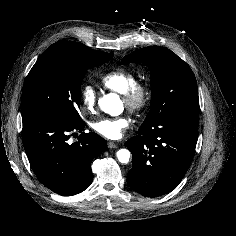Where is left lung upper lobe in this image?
Listing matches in <instances>:
<instances>
[{
  "instance_id": "5c2ea615",
  "label": "left lung upper lobe",
  "mask_w": 236,
  "mask_h": 236,
  "mask_svg": "<svg viewBox=\"0 0 236 236\" xmlns=\"http://www.w3.org/2000/svg\"><path fill=\"white\" fill-rule=\"evenodd\" d=\"M137 62L151 71V109L141 127L174 115L199 117L197 82L185 61L167 48L153 46L136 50L122 60V64Z\"/></svg>"
}]
</instances>
